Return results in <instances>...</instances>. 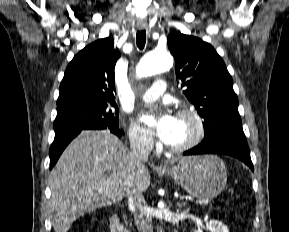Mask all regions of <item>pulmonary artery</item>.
Masks as SVG:
<instances>
[{
	"label": "pulmonary artery",
	"instance_id": "obj_1",
	"mask_svg": "<svg viewBox=\"0 0 289 232\" xmlns=\"http://www.w3.org/2000/svg\"><path fill=\"white\" fill-rule=\"evenodd\" d=\"M166 91V83L164 80H156L151 88L146 90L142 95L141 99L145 102L156 101Z\"/></svg>",
	"mask_w": 289,
	"mask_h": 232
}]
</instances>
